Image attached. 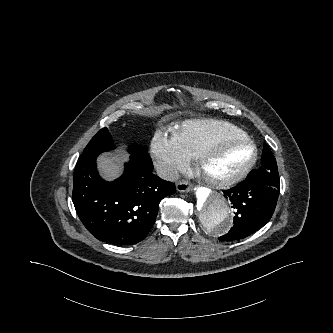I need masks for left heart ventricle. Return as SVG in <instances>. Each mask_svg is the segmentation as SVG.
<instances>
[{
    "instance_id": "obj_1",
    "label": "left heart ventricle",
    "mask_w": 333,
    "mask_h": 333,
    "mask_svg": "<svg viewBox=\"0 0 333 333\" xmlns=\"http://www.w3.org/2000/svg\"><path fill=\"white\" fill-rule=\"evenodd\" d=\"M250 149L239 141L219 145L205 164V171L215 177L229 175L239 169L249 158Z\"/></svg>"
}]
</instances>
